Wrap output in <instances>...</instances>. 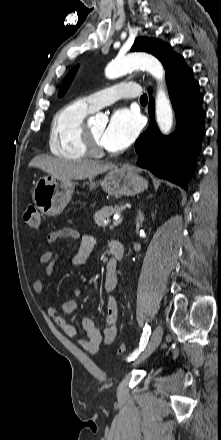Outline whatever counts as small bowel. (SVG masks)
<instances>
[{
  "label": "small bowel",
  "mask_w": 221,
  "mask_h": 440,
  "mask_svg": "<svg viewBox=\"0 0 221 440\" xmlns=\"http://www.w3.org/2000/svg\"><path fill=\"white\" fill-rule=\"evenodd\" d=\"M64 238H71L78 241V249L73 257V264L76 266L84 265L94 249L96 244L95 238L90 234L81 236L78 230L71 227L51 231L47 236L49 243H54ZM58 257L59 254L54 249H49L40 256L39 263L44 267L43 275L45 278L53 273ZM109 263H112V260H109L107 264ZM117 283L118 276L116 270H111L107 268L106 265L103 288L107 295V303L106 325L103 332L98 329L94 319L87 316L82 320V329L86 338L82 339L78 337L77 329L68 319L78 307L77 301L73 299L61 304L51 305L48 308V314L69 338L75 340L84 350L94 353L102 344L112 343L117 335L118 303L114 296ZM33 288L37 293L43 292L44 280L36 279L33 283ZM73 294L80 296L81 290L77 288L73 291Z\"/></svg>",
  "instance_id": "small-bowel-1"
}]
</instances>
